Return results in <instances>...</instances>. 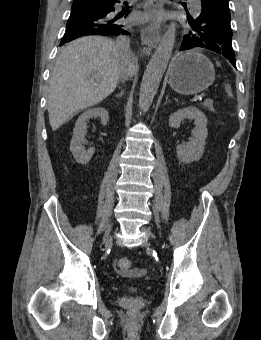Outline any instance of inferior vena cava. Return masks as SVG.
Returning <instances> with one entry per match:
<instances>
[{
    "label": "inferior vena cava",
    "mask_w": 261,
    "mask_h": 340,
    "mask_svg": "<svg viewBox=\"0 0 261 340\" xmlns=\"http://www.w3.org/2000/svg\"><path fill=\"white\" fill-rule=\"evenodd\" d=\"M116 47L118 51L123 55V56H130V39L126 36H119L115 42ZM131 75V70L126 69L122 74H121V80L125 81L128 79V77Z\"/></svg>",
    "instance_id": "inferior-vena-cava-1"
}]
</instances>
